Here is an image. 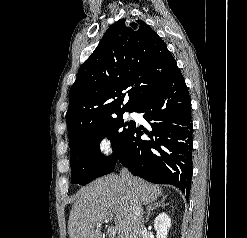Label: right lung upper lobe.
I'll return each mask as SVG.
<instances>
[{
    "instance_id": "right-lung-upper-lobe-1",
    "label": "right lung upper lobe",
    "mask_w": 247,
    "mask_h": 238,
    "mask_svg": "<svg viewBox=\"0 0 247 238\" xmlns=\"http://www.w3.org/2000/svg\"><path fill=\"white\" fill-rule=\"evenodd\" d=\"M177 69L163 40L145 22L120 19L111 25L69 91L70 146L91 127L135 111ZM126 89L129 100L123 105Z\"/></svg>"
}]
</instances>
